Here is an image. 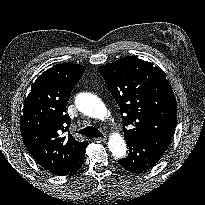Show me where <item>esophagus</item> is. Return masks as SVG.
<instances>
[{
	"label": "esophagus",
	"instance_id": "34e87169",
	"mask_svg": "<svg viewBox=\"0 0 205 205\" xmlns=\"http://www.w3.org/2000/svg\"><path fill=\"white\" fill-rule=\"evenodd\" d=\"M107 140L106 137H98V138H95V141L96 142H105Z\"/></svg>",
	"mask_w": 205,
	"mask_h": 205
}]
</instances>
